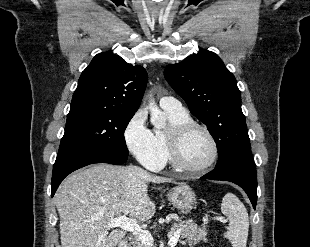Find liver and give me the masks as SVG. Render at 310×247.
Wrapping results in <instances>:
<instances>
[{
	"mask_svg": "<svg viewBox=\"0 0 310 247\" xmlns=\"http://www.w3.org/2000/svg\"><path fill=\"white\" fill-rule=\"evenodd\" d=\"M175 182L137 166L95 164L68 176L54 201L60 216L62 247H116L124 231L108 223L122 214L147 221L155 204L148 183Z\"/></svg>",
	"mask_w": 310,
	"mask_h": 247,
	"instance_id": "1",
	"label": "liver"
}]
</instances>
